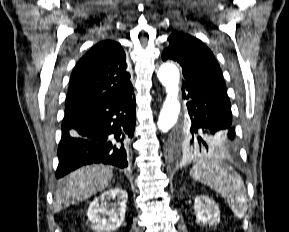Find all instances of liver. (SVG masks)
I'll list each match as a JSON object with an SVG mask.
<instances>
[{
  "instance_id": "6515ba94",
  "label": "liver",
  "mask_w": 289,
  "mask_h": 232,
  "mask_svg": "<svg viewBox=\"0 0 289 232\" xmlns=\"http://www.w3.org/2000/svg\"><path fill=\"white\" fill-rule=\"evenodd\" d=\"M112 177V167L102 164L87 165L73 171L58 182V188L54 193V211L58 212L64 206L103 191L108 187Z\"/></svg>"
}]
</instances>
